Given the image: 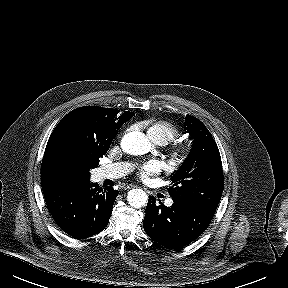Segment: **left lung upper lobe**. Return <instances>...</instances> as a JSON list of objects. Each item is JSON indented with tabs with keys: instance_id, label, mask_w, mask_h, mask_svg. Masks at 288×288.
I'll list each match as a JSON object with an SVG mask.
<instances>
[{
	"instance_id": "1",
	"label": "left lung upper lobe",
	"mask_w": 288,
	"mask_h": 288,
	"mask_svg": "<svg viewBox=\"0 0 288 288\" xmlns=\"http://www.w3.org/2000/svg\"><path fill=\"white\" fill-rule=\"evenodd\" d=\"M184 127L194 141L189 156L171 177L172 187L168 192L173 200L216 211L224 187L218 147L199 119L187 115Z\"/></svg>"
}]
</instances>
